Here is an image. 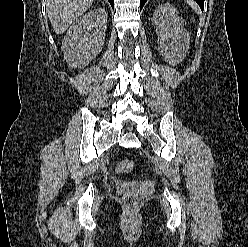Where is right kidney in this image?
<instances>
[{"label": "right kidney", "mask_w": 248, "mask_h": 247, "mask_svg": "<svg viewBox=\"0 0 248 247\" xmlns=\"http://www.w3.org/2000/svg\"><path fill=\"white\" fill-rule=\"evenodd\" d=\"M108 14L95 8L79 17L70 26L62 42L64 59L71 67H84L102 50Z\"/></svg>", "instance_id": "right-kidney-1"}]
</instances>
